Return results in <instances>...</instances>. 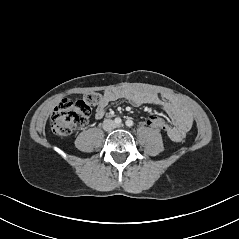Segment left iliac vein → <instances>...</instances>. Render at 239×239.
<instances>
[{
    "instance_id": "1",
    "label": "left iliac vein",
    "mask_w": 239,
    "mask_h": 239,
    "mask_svg": "<svg viewBox=\"0 0 239 239\" xmlns=\"http://www.w3.org/2000/svg\"><path fill=\"white\" fill-rule=\"evenodd\" d=\"M119 128L123 127V125H118Z\"/></svg>"
}]
</instances>
